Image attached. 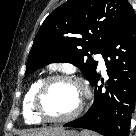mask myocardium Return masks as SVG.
I'll list each match as a JSON object with an SVG mask.
<instances>
[{
  "label": "myocardium",
  "instance_id": "f54148a6",
  "mask_svg": "<svg viewBox=\"0 0 136 136\" xmlns=\"http://www.w3.org/2000/svg\"><path fill=\"white\" fill-rule=\"evenodd\" d=\"M56 81H65V82L72 83L76 85L80 90V100H79V103L76 109L72 113L64 117L49 116L44 112L42 108V100H43L46 90L48 89L51 83L56 82ZM85 95H86V89L79 80H77L76 78L68 74H54V75L48 76L45 79H43L40 85L38 86L34 94V97H33L32 109L35 115L37 116V118L43 122L66 123V122L74 120L80 115L84 107Z\"/></svg>",
  "mask_w": 136,
  "mask_h": 136
}]
</instances>
